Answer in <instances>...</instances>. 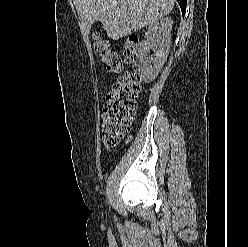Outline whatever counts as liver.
Returning <instances> with one entry per match:
<instances>
[{"instance_id":"liver-1","label":"liver","mask_w":248,"mask_h":247,"mask_svg":"<svg viewBox=\"0 0 248 247\" xmlns=\"http://www.w3.org/2000/svg\"><path fill=\"white\" fill-rule=\"evenodd\" d=\"M175 0H75L83 31L100 21L107 36L118 40L168 15Z\"/></svg>"}]
</instances>
